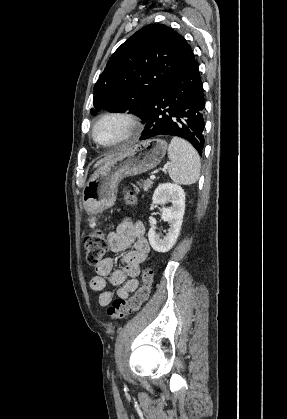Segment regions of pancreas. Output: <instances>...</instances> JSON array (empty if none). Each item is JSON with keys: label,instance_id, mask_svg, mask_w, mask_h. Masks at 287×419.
I'll use <instances>...</instances> for the list:
<instances>
[{"label": "pancreas", "instance_id": "obj_1", "mask_svg": "<svg viewBox=\"0 0 287 419\" xmlns=\"http://www.w3.org/2000/svg\"><path fill=\"white\" fill-rule=\"evenodd\" d=\"M152 185H153V181L146 180V181L143 182L142 185H140V188H143L144 191L147 192L148 190H150L152 188Z\"/></svg>", "mask_w": 287, "mask_h": 419}]
</instances>
